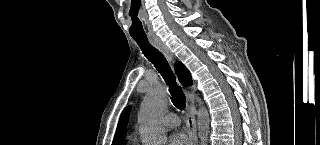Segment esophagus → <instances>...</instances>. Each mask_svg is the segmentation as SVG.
I'll return each instance as SVG.
<instances>
[{
	"mask_svg": "<svg viewBox=\"0 0 320 145\" xmlns=\"http://www.w3.org/2000/svg\"><path fill=\"white\" fill-rule=\"evenodd\" d=\"M150 42L159 49L165 57L172 61L173 55L169 48L158 38H150ZM186 127L189 135L190 145L198 144L197 127L195 119V107L190 97H187V114H186Z\"/></svg>",
	"mask_w": 320,
	"mask_h": 145,
	"instance_id": "1",
	"label": "esophagus"
}]
</instances>
